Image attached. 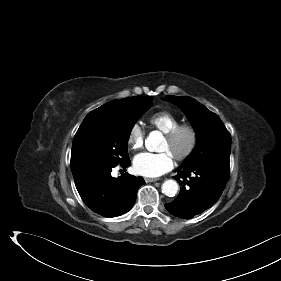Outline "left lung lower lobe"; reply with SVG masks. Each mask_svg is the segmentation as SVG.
Returning a JSON list of instances; mask_svg holds the SVG:
<instances>
[{
    "mask_svg": "<svg viewBox=\"0 0 281 281\" xmlns=\"http://www.w3.org/2000/svg\"><path fill=\"white\" fill-rule=\"evenodd\" d=\"M176 172L174 178L183 186L177 198L165 207L176 217L190 219L219 199L229 177V162L206 161L181 166Z\"/></svg>",
    "mask_w": 281,
    "mask_h": 281,
    "instance_id": "obj_1",
    "label": "left lung lower lobe"
}]
</instances>
